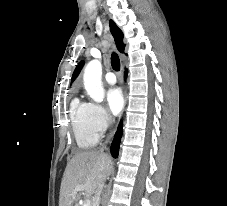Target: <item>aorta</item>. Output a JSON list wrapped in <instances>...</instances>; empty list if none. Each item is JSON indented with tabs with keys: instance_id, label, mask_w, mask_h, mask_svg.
I'll return each instance as SVG.
<instances>
[{
	"instance_id": "obj_1",
	"label": "aorta",
	"mask_w": 227,
	"mask_h": 206,
	"mask_svg": "<svg viewBox=\"0 0 227 206\" xmlns=\"http://www.w3.org/2000/svg\"><path fill=\"white\" fill-rule=\"evenodd\" d=\"M101 77V63L98 60L90 61L84 70V87L87 94L98 103L102 102L105 96Z\"/></svg>"
}]
</instances>
